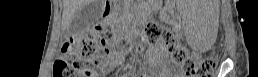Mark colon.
Instances as JSON below:
<instances>
[{
    "label": "colon",
    "mask_w": 258,
    "mask_h": 77,
    "mask_svg": "<svg viewBox=\"0 0 258 77\" xmlns=\"http://www.w3.org/2000/svg\"><path fill=\"white\" fill-rule=\"evenodd\" d=\"M144 43H159L169 52L172 61L183 68L187 77H209L216 63L210 58L198 59L191 56L180 44L177 36L168 28L151 22L145 27ZM121 43L111 40L110 32L98 30L80 37L71 38L64 46L61 56L53 67L54 77H90L101 63L100 51L120 52Z\"/></svg>",
    "instance_id": "colon-1"
}]
</instances>
